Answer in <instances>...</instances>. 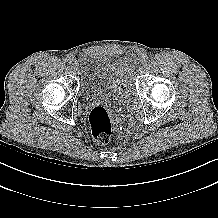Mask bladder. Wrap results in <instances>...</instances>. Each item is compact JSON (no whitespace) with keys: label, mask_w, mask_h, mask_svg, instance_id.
<instances>
[{"label":"bladder","mask_w":218,"mask_h":218,"mask_svg":"<svg viewBox=\"0 0 218 218\" xmlns=\"http://www.w3.org/2000/svg\"><path fill=\"white\" fill-rule=\"evenodd\" d=\"M78 64L80 92L84 100L120 95L132 82V60L129 57L85 52L80 56Z\"/></svg>","instance_id":"31cf9c89"}]
</instances>
